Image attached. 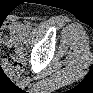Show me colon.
Here are the masks:
<instances>
[{
  "instance_id": "5ec220e1",
  "label": "colon",
  "mask_w": 93,
  "mask_h": 93,
  "mask_svg": "<svg viewBox=\"0 0 93 93\" xmlns=\"http://www.w3.org/2000/svg\"><path fill=\"white\" fill-rule=\"evenodd\" d=\"M16 26V22H12L9 28L2 27V38L4 41H10V38L14 37L15 34L13 32V28ZM23 60L24 57L22 54L16 52L15 54H11L9 57H5L3 64L5 70L11 72H20L23 68Z\"/></svg>"
}]
</instances>
